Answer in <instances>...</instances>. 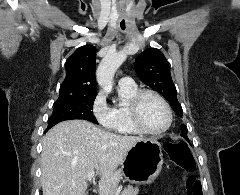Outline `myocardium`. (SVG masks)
Instances as JSON below:
<instances>
[{
    "mask_svg": "<svg viewBox=\"0 0 240 195\" xmlns=\"http://www.w3.org/2000/svg\"><path fill=\"white\" fill-rule=\"evenodd\" d=\"M147 95L155 97L161 103L165 112V123L161 128L156 130L147 128L142 121L141 104L143 98ZM130 115L134 126L139 130V132L147 135H159L166 132L169 129L172 122V111L168 102L161 94L151 89L139 90L133 96L130 102Z\"/></svg>",
    "mask_w": 240,
    "mask_h": 195,
    "instance_id": "f54148a6",
    "label": "myocardium"
}]
</instances>
